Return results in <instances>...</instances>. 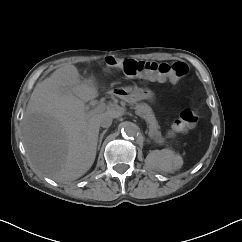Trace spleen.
<instances>
[{"label":"spleen","mask_w":242,"mask_h":242,"mask_svg":"<svg viewBox=\"0 0 242 242\" xmlns=\"http://www.w3.org/2000/svg\"><path fill=\"white\" fill-rule=\"evenodd\" d=\"M146 161L150 166L168 172L181 162V157L169 149L154 150L147 156Z\"/></svg>","instance_id":"spleen-1"}]
</instances>
